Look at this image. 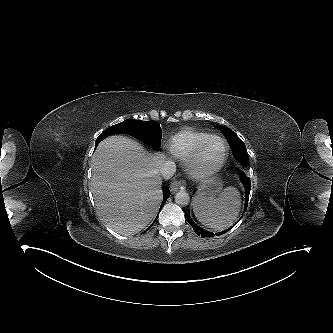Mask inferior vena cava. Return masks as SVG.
I'll use <instances>...</instances> for the list:
<instances>
[{"label": "inferior vena cava", "mask_w": 333, "mask_h": 333, "mask_svg": "<svg viewBox=\"0 0 333 333\" xmlns=\"http://www.w3.org/2000/svg\"><path fill=\"white\" fill-rule=\"evenodd\" d=\"M176 172V164L171 160H166L159 166V173L165 180L170 179Z\"/></svg>", "instance_id": "1"}]
</instances>
